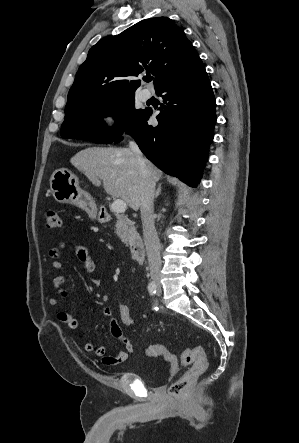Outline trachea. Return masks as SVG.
Listing matches in <instances>:
<instances>
[{"label":"trachea","mask_w":299,"mask_h":443,"mask_svg":"<svg viewBox=\"0 0 299 443\" xmlns=\"http://www.w3.org/2000/svg\"><path fill=\"white\" fill-rule=\"evenodd\" d=\"M152 79L151 78H147L146 79V82H150Z\"/></svg>","instance_id":"1"}]
</instances>
